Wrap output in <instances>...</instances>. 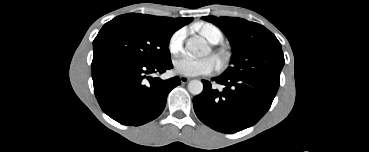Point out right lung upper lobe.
Wrapping results in <instances>:
<instances>
[{
    "instance_id": "cb5924a9",
    "label": "right lung upper lobe",
    "mask_w": 369,
    "mask_h": 152,
    "mask_svg": "<svg viewBox=\"0 0 369 152\" xmlns=\"http://www.w3.org/2000/svg\"><path fill=\"white\" fill-rule=\"evenodd\" d=\"M129 14L138 20H142L150 24L170 27L175 30L180 29L181 27L190 23L193 20L192 17L170 18V17H158V16H152V15H145V14H139V13H129Z\"/></svg>"
}]
</instances>
